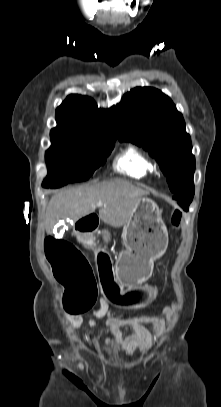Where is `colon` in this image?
I'll return each instance as SVG.
<instances>
[{
  "label": "colon",
  "instance_id": "obj_1",
  "mask_svg": "<svg viewBox=\"0 0 221 407\" xmlns=\"http://www.w3.org/2000/svg\"><path fill=\"white\" fill-rule=\"evenodd\" d=\"M96 212L89 211L88 216H78L72 232L76 239H98L99 221ZM183 211L176 208L171 216V224L179 228ZM45 254L51 264L54 275L64 286L66 310L79 315L93 307L96 301L98 285L91 265L85 256L70 242L49 237L45 241ZM99 282L105 292L109 306L116 311H144L153 306L154 300L161 297L158 283H130L123 291L115 280L112 264L106 255L98 258Z\"/></svg>",
  "mask_w": 221,
  "mask_h": 407
}]
</instances>
